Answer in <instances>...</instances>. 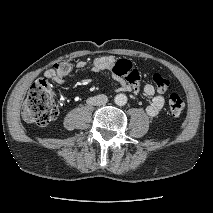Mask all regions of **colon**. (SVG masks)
Masks as SVG:
<instances>
[{"label": "colon", "instance_id": "obj_1", "mask_svg": "<svg viewBox=\"0 0 213 213\" xmlns=\"http://www.w3.org/2000/svg\"><path fill=\"white\" fill-rule=\"evenodd\" d=\"M72 60L62 61L54 65L57 74L66 76L73 68ZM133 65L129 60H118L114 66L113 72L120 77H127L132 73ZM156 89L164 93L170 86V81L159 73L152 77ZM169 109L173 116H179L185 103L178 94L169 96ZM58 116V104L54 97V92L49 83L44 79L36 80L27 95L22 109V117L28 123H34L40 126L48 125Z\"/></svg>", "mask_w": 213, "mask_h": 213}]
</instances>
